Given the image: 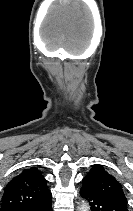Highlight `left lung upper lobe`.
<instances>
[{"label":"left lung upper lobe","instance_id":"1","mask_svg":"<svg viewBox=\"0 0 133 211\" xmlns=\"http://www.w3.org/2000/svg\"><path fill=\"white\" fill-rule=\"evenodd\" d=\"M82 188L98 195L127 203L121 184L114 176L105 171L101 165H94L92 167L83 179Z\"/></svg>","mask_w":133,"mask_h":211}]
</instances>
